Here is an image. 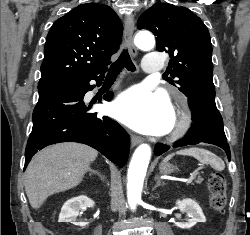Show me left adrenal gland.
<instances>
[{"mask_svg": "<svg viewBox=\"0 0 250 235\" xmlns=\"http://www.w3.org/2000/svg\"><path fill=\"white\" fill-rule=\"evenodd\" d=\"M155 179H156V184H155V186L153 187L152 190H155L158 186L164 185V183H161V180H160V178L158 176H156Z\"/></svg>", "mask_w": 250, "mask_h": 235, "instance_id": "1", "label": "left adrenal gland"}]
</instances>
